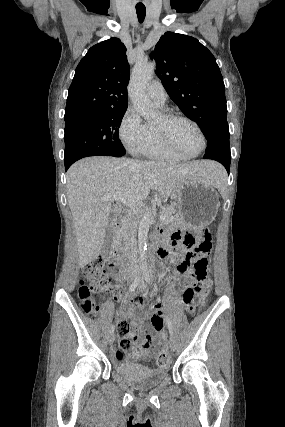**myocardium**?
<instances>
[{
	"label": "myocardium",
	"instance_id": "myocardium-1",
	"mask_svg": "<svg viewBox=\"0 0 285 427\" xmlns=\"http://www.w3.org/2000/svg\"><path fill=\"white\" fill-rule=\"evenodd\" d=\"M162 116L164 117V119H165L166 122H172V121H176V120H181V121H185L187 123H190L191 125H193L196 128L197 132L200 135L201 142H202L201 148H200V150L198 152L193 153V154H189V153H186V152L182 151L173 142L170 134L165 129L158 128V127L154 126L155 130H156V132H157V134L159 136V139L164 144V146H166L171 151H173V152H175V153H177V154H179V155H181V156H183L185 158H194V157H197L198 155H200L204 151V149L206 148V145H207L206 136H205V134H204L201 126L195 120H193V119H191V118H189L187 116H184V115H181V114H178V113H173V112H164L162 114Z\"/></svg>",
	"mask_w": 285,
	"mask_h": 427
}]
</instances>
